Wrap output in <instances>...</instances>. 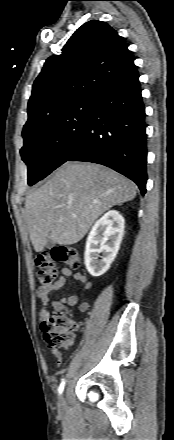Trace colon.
Instances as JSON below:
<instances>
[{
  "label": "colon",
  "instance_id": "colon-1",
  "mask_svg": "<svg viewBox=\"0 0 174 440\" xmlns=\"http://www.w3.org/2000/svg\"><path fill=\"white\" fill-rule=\"evenodd\" d=\"M56 262H63L72 268H78L81 258L78 250L72 246L60 245L43 250L35 258L39 268L38 280L42 286H50L57 279ZM46 345L54 351L68 348L74 340V325L62 312L50 314L41 323Z\"/></svg>",
  "mask_w": 174,
  "mask_h": 440
}]
</instances>
